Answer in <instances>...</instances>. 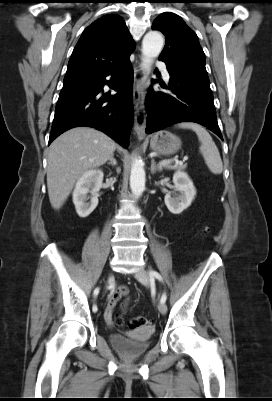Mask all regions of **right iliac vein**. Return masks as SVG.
<instances>
[{
    "label": "right iliac vein",
    "instance_id": "right-iliac-vein-1",
    "mask_svg": "<svg viewBox=\"0 0 272 401\" xmlns=\"http://www.w3.org/2000/svg\"><path fill=\"white\" fill-rule=\"evenodd\" d=\"M112 279V275H109L108 281H110Z\"/></svg>",
    "mask_w": 272,
    "mask_h": 401
}]
</instances>
